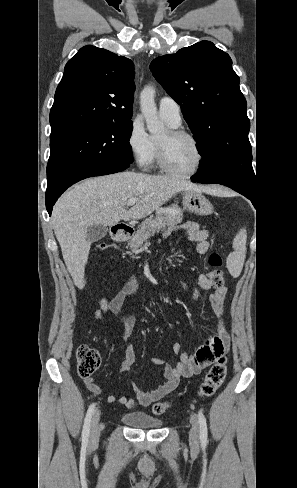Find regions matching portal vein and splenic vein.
I'll list each match as a JSON object with an SVG mask.
<instances>
[{
  "label": "portal vein and splenic vein",
  "mask_w": 297,
  "mask_h": 488,
  "mask_svg": "<svg viewBox=\"0 0 297 488\" xmlns=\"http://www.w3.org/2000/svg\"><path fill=\"white\" fill-rule=\"evenodd\" d=\"M139 199L138 198H131L127 201L126 205L127 206H132L134 205L136 202H138ZM162 211H167L168 209H161Z\"/></svg>",
  "instance_id": "portal-vein-and-splenic-vein-1"
}]
</instances>
